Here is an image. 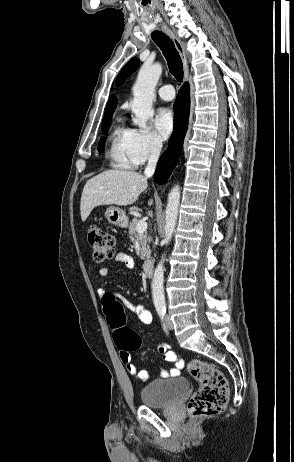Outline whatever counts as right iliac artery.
<instances>
[{
	"label": "right iliac artery",
	"mask_w": 294,
	"mask_h": 462,
	"mask_svg": "<svg viewBox=\"0 0 294 462\" xmlns=\"http://www.w3.org/2000/svg\"><path fill=\"white\" fill-rule=\"evenodd\" d=\"M157 312H158V315H159L160 319L163 322L164 330L167 332L166 326H165V323H164V317H165L166 309L165 308H159V309H157Z\"/></svg>",
	"instance_id": "right-iliac-artery-1"
}]
</instances>
